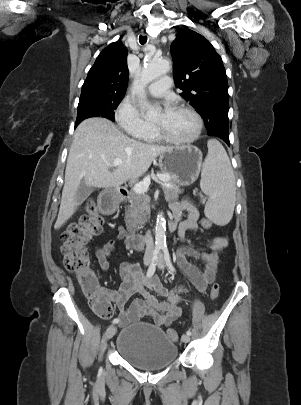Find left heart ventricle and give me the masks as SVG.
<instances>
[{
  "label": "left heart ventricle",
  "instance_id": "left-heart-ventricle-1",
  "mask_svg": "<svg viewBox=\"0 0 301 405\" xmlns=\"http://www.w3.org/2000/svg\"><path fill=\"white\" fill-rule=\"evenodd\" d=\"M153 122L177 138H188L196 129L194 117L188 112L177 109L159 112Z\"/></svg>",
  "mask_w": 301,
  "mask_h": 405
}]
</instances>
